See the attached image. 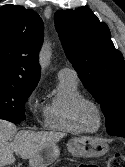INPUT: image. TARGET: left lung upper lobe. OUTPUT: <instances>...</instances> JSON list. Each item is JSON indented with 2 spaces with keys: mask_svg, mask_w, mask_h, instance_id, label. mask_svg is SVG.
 I'll return each instance as SVG.
<instances>
[{
  "mask_svg": "<svg viewBox=\"0 0 125 167\" xmlns=\"http://www.w3.org/2000/svg\"><path fill=\"white\" fill-rule=\"evenodd\" d=\"M54 20L67 58L101 104L108 134L125 137V62L108 26L88 7L59 10Z\"/></svg>",
  "mask_w": 125,
  "mask_h": 167,
  "instance_id": "5c2ea615",
  "label": "left lung upper lobe"
}]
</instances>
